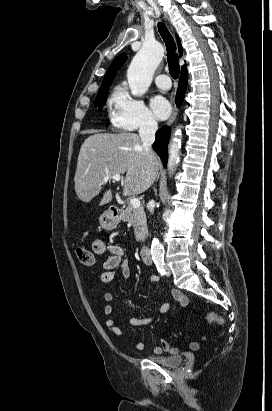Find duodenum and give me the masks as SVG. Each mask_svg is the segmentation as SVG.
Instances as JSON below:
<instances>
[{"instance_id":"410a0bca","label":"duodenum","mask_w":272,"mask_h":411,"mask_svg":"<svg viewBox=\"0 0 272 411\" xmlns=\"http://www.w3.org/2000/svg\"><path fill=\"white\" fill-rule=\"evenodd\" d=\"M108 211L114 215V216H118L121 214L122 209L116 205H111L108 209ZM140 255L141 258L143 259L144 263L150 265L152 264V258H151V252H150V248H148L147 246H144L141 251H140Z\"/></svg>"}]
</instances>
